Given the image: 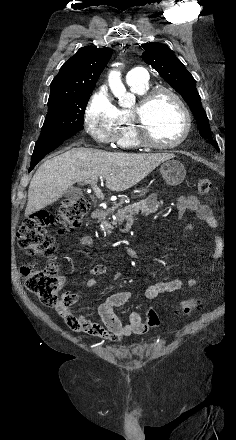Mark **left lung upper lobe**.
Returning a JSON list of instances; mask_svg holds the SVG:
<instances>
[{"label":"left lung upper lobe","mask_w":236,"mask_h":440,"mask_svg":"<svg viewBox=\"0 0 236 440\" xmlns=\"http://www.w3.org/2000/svg\"><path fill=\"white\" fill-rule=\"evenodd\" d=\"M141 46L144 50L142 53L143 60L181 94L197 120L200 135L211 140L212 135L208 118L202 108L201 98L197 92L193 76L168 46L157 42H150Z\"/></svg>","instance_id":"obj_1"}]
</instances>
